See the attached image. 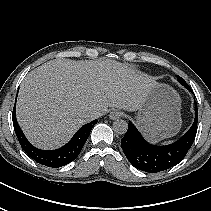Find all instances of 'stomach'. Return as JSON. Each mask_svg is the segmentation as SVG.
I'll return each instance as SVG.
<instances>
[{"instance_id":"stomach-1","label":"stomach","mask_w":211,"mask_h":211,"mask_svg":"<svg viewBox=\"0 0 211 211\" xmlns=\"http://www.w3.org/2000/svg\"><path fill=\"white\" fill-rule=\"evenodd\" d=\"M180 107L181 99L172 87L155 83L138 111L136 123L151 142L170 138L181 128Z\"/></svg>"}]
</instances>
